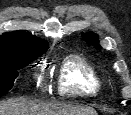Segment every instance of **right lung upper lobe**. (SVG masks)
<instances>
[{"label":"right lung upper lobe","mask_w":131,"mask_h":115,"mask_svg":"<svg viewBox=\"0 0 131 115\" xmlns=\"http://www.w3.org/2000/svg\"><path fill=\"white\" fill-rule=\"evenodd\" d=\"M48 48L47 42L26 31L6 32L0 37V66L24 54H42Z\"/></svg>","instance_id":"obj_1"}]
</instances>
